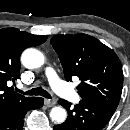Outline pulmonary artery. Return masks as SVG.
Returning <instances> with one entry per match:
<instances>
[{"mask_svg": "<svg viewBox=\"0 0 130 130\" xmlns=\"http://www.w3.org/2000/svg\"><path fill=\"white\" fill-rule=\"evenodd\" d=\"M45 74L49 84L57 94L71 102H78L80 100L78 93L62 81L53 68L47 67L45 69Z\"/></svg>", "mask_w": 130, "mask_h": 130, "instance_id": "obj_1", "label": "pulmonary artery"}]
</instances>
